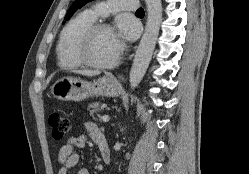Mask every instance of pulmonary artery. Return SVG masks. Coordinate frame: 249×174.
Wrapping results in <instances>:
<instances>
[{
	"mask_svg": "<svg viewBox=\"0 0 249 174\" xmlns=\"http://www.w3.org/2000/svg\"><path fill=\"white\" fill-rule=\"evenodd\" d=\"M138 0H106L97 2L94 6L86 10V13L96 20L99 16H104L114 11H135Z\"/></svg>",
	"mask_w": 249,
	"mask_h": 174,
	"instance_id": "obj_1",
	"label": "pulmonary artery"
}]
</instances>
